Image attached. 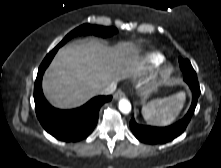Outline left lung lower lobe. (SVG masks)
<instances>
[{"label":"left lung lower lobe","mask_w":221,"mask_h":168,"mask_svg":"<svg viewBox=\"0 0 221 168\" xmlns=\"http://www.w3.org/2000/svg\"><path fill=\"white\" fill-rule=\"evenodd\" d=\"M184 81L189 85L193 96L191 107L184 118L167 127H153L137 124L134 118H132L130 127L138 140L147 144H163L172 141L184 132L194 114L197 100L200 95L197 75L184 76Z\"/></svg>","instance_id":"0a47b994"}]
</instances>
